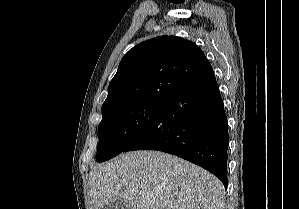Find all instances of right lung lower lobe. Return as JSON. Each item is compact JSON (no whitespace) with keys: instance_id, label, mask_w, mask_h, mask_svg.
I'll use <instances>...</instances> for the list:
<instances>
[{"instance_id":"98d812e1","label":"right lung lower lobe","mask_w":299,"mask_h":209,"mask_svg":"<svg viewBox=\"0 0 299 209\" xmlns=\"http://www.w3.org/2000/svg\"><path fill=\"white\" fill-rule=\"evenodd\" d=\"M228 122L213 70L187 80L123 152L159 150L191 161L227 187Z\"/></svg>"}]
</instances>
